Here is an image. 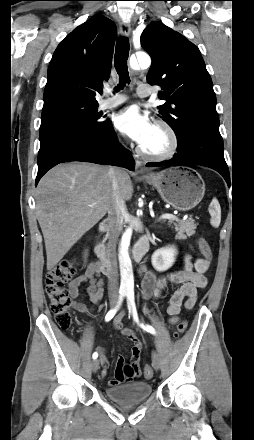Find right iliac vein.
Wrapping results in <instances>:
<instances>
[{"label": "right iliac vein", "instance_id": "63e3f726", "mask_svg": "<svg viewBox=\"0 0 254 440\" xmlns=\"http://www.w3.org/2000/svg\"><path fill=\"white\" fill-rule=\"evenodd\" d=\"M112 306H113V305H112ZM91 367H92V371H93L94 373L97 372L98 369H99V360H98V359L93 360V361H92V364H91Z\"/></svg>", "mask_w": 254, "mask_h": 440}]
</instances>
